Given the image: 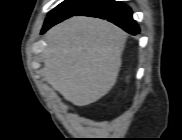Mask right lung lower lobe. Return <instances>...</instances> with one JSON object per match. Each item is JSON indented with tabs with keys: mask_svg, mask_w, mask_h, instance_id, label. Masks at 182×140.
I'll return each mask as SVG.
<instances>
[{
	"mask_svg": "<svg viewBox=\"0 0 182 140\" xmlns=\"http://www.w3.org/2000/svg\"><path fill=\"white\" fill-rule=\"evenodd\" d=\"M79 15L106 19L130 34L136 35L139 33V27L132 18L131 9L122 2L115 0H95L72 16ZM52 26L43 27L42 33Z\"/></svg>",
	"mask_w": 182,
	"mask_h": 140,
	"instance_id": "right-lung-lower-lobe-1",
	"label": "right lung lower lobe"
}]
</instances>
